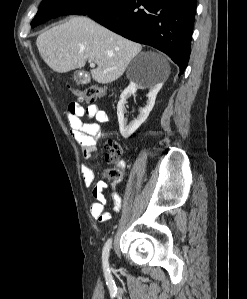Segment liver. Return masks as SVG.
<instances>
[{"mask_svg":"<svg viewBox=\"0 0 247 299\" xmlns=\"http://www.w3.org/2000/svg\"><path fill=\"white\" fill-rule=\"evenodd\" d=\"M36 44L44 62L58 73L82 68L87 60L96 63L97 68L91 70V75L101 84L121 77L142 49L140 44L83 16L72 17L40 34ZM157 58L163 68V80H166L170 73L169 64L162 55Z\"/></svg>","mask_w":247,"mask_h":299,"instance_id":"6515ba94","label":"liver"}]
</instances>
